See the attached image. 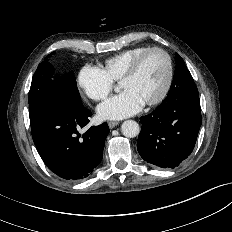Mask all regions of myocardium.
<instances>
[{"label": "myocardium", "instance_id": "myocardium-1", "mask_svg": "<svg viewBox=\"0 0 232 232\" xmlns=\"http://www.w3.org/2000/svg\"><path fill=\"white\" fill-rule=\"evenodd\" d=\"M154 52H159L162 53L167 61V77H166V81L165 84L161 90V92L153 99L145 102L146 105L148 106H154L159 104L160 102H162L165 97L167 96V94L170 91V88L172 86V82H173V77H174V67H173V61L172 58L170 56V54L163 48L160 47H151L147 50H145L144 52L140 53L128 66L127 70L125 71V73L123 74V76L121 77L120 84L124 81H127L129 79H131L132 77L135 76V74L137 73L140 65L142 64L143 60L150 55L151 53Z\"/></svg>", "mask_w": 232, "mask_h": 232}]
</instances>
